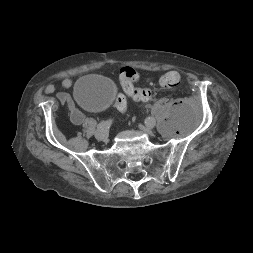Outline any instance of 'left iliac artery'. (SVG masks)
<instances>
[{
    "label": "left iliac artery",
    "mask_w": 253,
    "mask_h": 253,
    "mask_svg": "<svg viewBox=\"0 0 253 253\" xmlns=\"http://www.w3.org/2000/svg\"><path fill=\"white\" fill-rule=\"evenodd\" d=\"M145 124L154 127L156 124V120L153 117H148L145 120Z\"/></svg>",
    "instance_id": "44dca946"
}]
</instances>
